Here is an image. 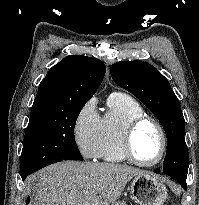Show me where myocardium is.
I'll return each mask as SVG.
<instances>
[{
  "mask_svg": "<svg viewBox=\"0 0 199 205\" xmlns=\"http://www.w3.org/2000/svg\"><path fill=\"white\" fill-rule=\"evenodd\" d=\"M145 123L153 124L156 127V129L158 130L160 138H161L160 154H159L158 158L152 162H143V161L139 160L135 156L134 150H133V138H134L135 132L137 131V129L141 125H143ZM167 148H168V139H167L166 132H165L162 124L154 117H151V116H148L145 114L141 115L139 117L132 119L130 122H128V124L124 128V131L122 134V139H121V149H122V152H123L125 158L129 162H131L135 165H138L141 167H152V166L158 165L164 159L166 152H167Z\"/></svg>",
  "mask_w": 199,
  "mask_h": 205,
  "instance_id": "1",
  "label": "myocardium"
}]
</instances>
